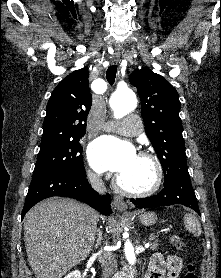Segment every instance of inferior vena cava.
I'll use <instances>...</instances> for the list:
<instances>
[{"mask_svg": "<svg viewBox=\"0 0 221 278\" xmlns=\"http://www.w3.org/2000/svg\"><path fill=\"white\" fill-rule=\"evenodd\" d=\"M88 179L92 187L99 193L105 192V186L101 177L94 173L88 174ZM102 265L103 278H111L117 270L116 257L109 252H104L100 255Z\"/></svg>", "mask_w": 221, "mask_h": 278, "instance_id": "602c4592", "label": "inferior vena cava"}]
</instances>
